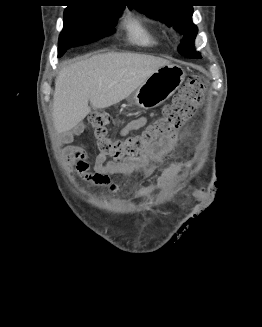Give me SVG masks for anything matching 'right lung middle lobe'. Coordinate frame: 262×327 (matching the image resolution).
I'll return each instance as SVG.
<instances>
[{
    "label": "right lung middle lobe",
    "instance_id": "1",
    "mask_svg": "<svg viewBox=\"0 0 262 327\" xmlns=\"http://www.w3.org/2000/svg\"><path fill=\"white\" fill-rule=\"evenodd\" d=\"M121 10L75 5L64 11V27L59 36L58 57L71 47L88 44L115 32Z\"/></svg>",
    "mask_w": 262,
    "mask_h": 327
}]
</instances>
